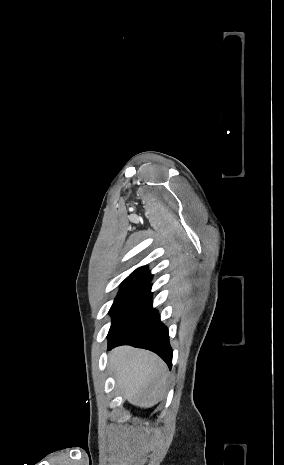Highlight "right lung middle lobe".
Wrapping results in <instances>:
<instances>
[{"label":"right lung middle lobe","mask_w":284,"mask_h":465,"mask_svg":"<svg viewBox=\"0 0 284 465\" xmlns=\"http://www.w3.org/2000/svg\"><path fill=\"white\" fill-rule=\"evenodd\" d=\"M151 283L146 280L125 279L109 311L112 325L129 313L149 292Z\"/></svg>","instance_id":"right-lung-middle-lobe-1"}]
</instances>
